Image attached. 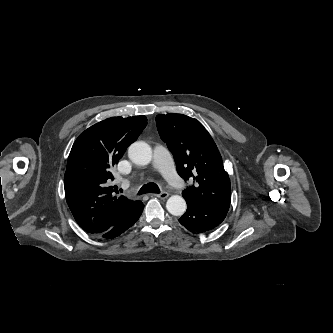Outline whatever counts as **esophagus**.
Segmentation results:
<instances>
[{"label":"esophagus","instance_id":"1","mask_svg":"<svg viewBox=\"0 0 333 333\" xmlns=\"http://www.w3.org/2000/svg\"><path fill=\"white\" fill-rule=\"evenodd\" d=\"M153 196L158 197L160 199H166L169 194L167 192H161L160 194H153Z\"/></svg>","mask_w":333,"mask_h":333}]
</instances>
